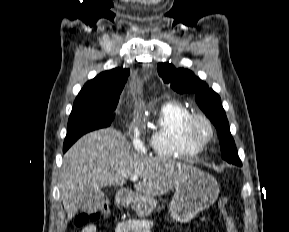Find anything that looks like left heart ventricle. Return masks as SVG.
<instances>
[{
    "mask_svg": "<svg viewBox=\"0 0 289 232\" xmlns=\"http://www.w3.org/2000/svg\"><path fill=\"white\" fill-rule=\"evenodd\" d=\"M195 134L199 139H205L208 137L209 131L203 123H199L195 128Z\"/></svg>",
    "mask_w": 289,
    "mask_h": 232,
    "instance_id": "obj_1",
    "label": "left heart ventricle"
}]
</instances>
